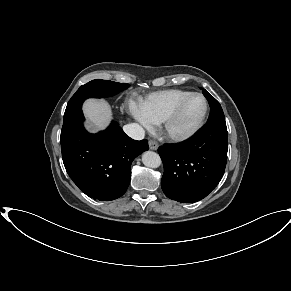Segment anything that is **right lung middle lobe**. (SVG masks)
Masks as SVG:
<instances>
[{"instance_id": "dd1d6c3e", "label": "right lung middle lobe", "mask_w": 291, "mask_h": 291, "mask_svg": "<svg viewBox=\"0 0 291 291\" xmlns=\"http://www.w3.org/2000/svg\"><path fill=\"white\" fill-rule=\"evenodd\" d=\"M129 87L126 83L107 80H93L82 85L69 100L64 119H76L81 114L82 103L87 98H102L113 96Z\"/></svg>"}]
</instances>
